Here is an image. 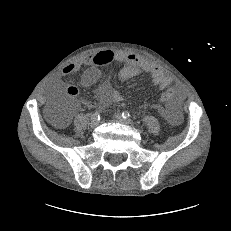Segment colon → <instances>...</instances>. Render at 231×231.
Masks as SVG:
<instances>
[{
  "label": "colon",
  "instance_id": "1",
  "mask_svg": "<svg viewBox=\"0 0 231 231\" xmlns=\"http://www.w3.org/2000/svg\"><path fill=\"white\" fill-rule=\"evenodd\" d=\"M175 95H176V90L174 88H172V87H167L164 90V92H162L159 95V100L162 103H169L174 99Z\"/></svg>",
  "mask_w": 231,
  "mask_h": 231
}]
</instances>
